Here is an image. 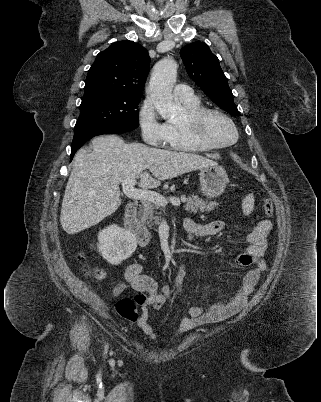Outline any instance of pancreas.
I'll return each mask as SVG.
<instances>
[{"instance_id":"cf45deb5","label":"pancreas","mask_w":321,"mask_h":402,"mask_svg":"<svg viewBox=\"0 0 321 402\" xmlns=\"http://www.w3.org/2000/svg\"><path fill=\"white\" fill-rule=\"evenodd\" d=\"M185 210L190 213L210 212L214 210L219 204L217 202H207L201 200L198 196H192L185 199ZM161 206L148 200L142 201L140 206L139 216L143 223L147 224L150 228L159 225L162 220Z\"/></svg>"}]
</instances>
